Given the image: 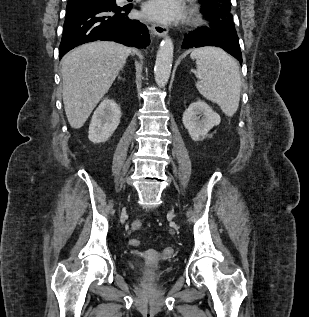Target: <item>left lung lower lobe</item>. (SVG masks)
<instances>
[{"mask_svg":"<svg viewBox=\"0 0 309 317\" xmlns=\"http://www.w3.org/2000/svg\"><path fill=\"white\" fill-rule=\"evenodd\" d=\"M216 46L224 49L242 63L239 38L236 31L217 29L214 24L210 28H198L185 35L182 48Z\"/></svg>","mask_w":309,"mask_h":317,"instance_id":"1","label":"left lung lower lobe"}]
</instances>
